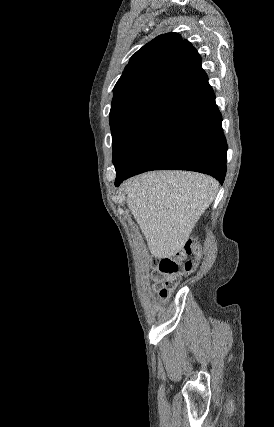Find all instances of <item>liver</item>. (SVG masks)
I'll use <instances>...</instances> for the list:
<instances>
[{
  "mask_svg": "<svg viewBox=\"0 0 274 427\" xmlns=\"http://www.w3.org/2000/svg\"><path fill=\"white\" fill-rule=\"evenodd\" d=\"M217 188L214 178L196 172H148L123 184L127 206L154 257H171L182 249Z\"/></svg>",
  "mask_w": 274,
  "mask_h": 427,
  "instance_id": "liver-1",
  "label": "liver"
}]
</instances>
